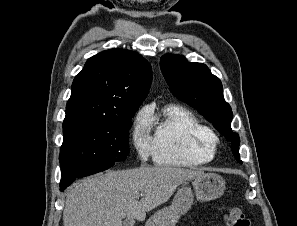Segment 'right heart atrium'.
Here are the masks:
<instances>
[{"label": "right heart atrium", "instance_id": "d8ad5b80", "mask_svg": "<svg viewBox=\"0 0 297 226\" xmlns=\"http://www.w3.org/2000/svg\"><path fill=\"white\" fill-rule=\"evenodd\" d=\"M150 116L146 110L139 111L133 123L132 142L142 160L153 155V138L150 133Z\"/></svg>", "mask_w": 297, "mask_h": 226}]
</instances>
